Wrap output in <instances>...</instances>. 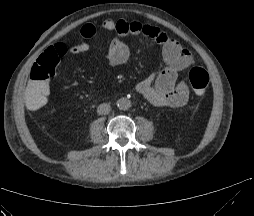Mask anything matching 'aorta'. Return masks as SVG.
I'll list each match as a JSON object with an SVG mask.
<instances>
[{"label":"aorta","mask_w":254,"mask_h":216,"mask_svg":"<svg viewBox=\"0 0 254 216\" xmlns=\"http://www.w3.org/2000/svg\"><path fill=\"white\" fill-rule=\"evenodd\" d=\"M116 104L120 110H128L131 107V101L124 97L117 100Z\"/></svg>","instance_id":"aorta-1"}]
</instances>
